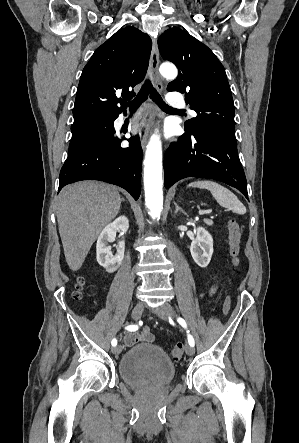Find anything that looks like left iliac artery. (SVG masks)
I'll return each instance as SVG.
<instances>
[{
    "label": "left iliac artery",
    "mask_w": 299,
    "mask_h": 443,
    "mask_svg": "<svg viewBox=\"0 0 299 443\" xmlns=\"http://www.w3.org/2000/svg\"><path fill=\"white\" fill-rule=\"evenodd\" d=\"M177 321L179 322V324L184 327L185 329H187V324L185 322V320L183 318H178ZM188 333V343L190 346L194 347L195 342H194V338L192 337V335L189 334V331L187 330Z\"/></svg>",
    "instance_id": "44dca946"
}]
</instances>
